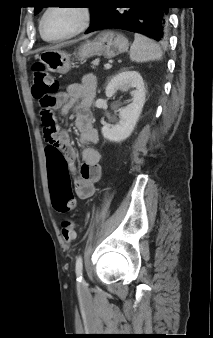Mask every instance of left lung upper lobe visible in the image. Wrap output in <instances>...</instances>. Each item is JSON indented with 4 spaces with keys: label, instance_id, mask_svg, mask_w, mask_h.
I'll list each match as a JSON object with an SVG mask.
<instances>
[{
    "label": "left lung upper lobe",
    "instance_id": "5c2ea615",
    "mask_svg": "<svg viewBox=\"0 0 213 338\" xmlns=\"http://www.w3.org/2000/svg\"><path fill=\"white\" fill-rule=\"evenodd\" d=\"M101 1L102 0H91L89 3L92 4L91 6V19L92 22L96 19L97 15L99 14L100 8H101ZM42 7H35L34 14L36 15Z\"/></svg>",
    "mask_w": 213,
    "mask_h": 338
}]
</instances>
